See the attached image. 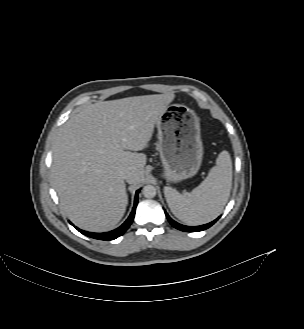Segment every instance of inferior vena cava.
I'll list each match as a JSON object with an SVG mask.
<instances>
[{"mask_svg": "<svg viewBox=\"0 0 304 329\" xmlns=\"http://www.w3.org/2000/svg\"><path fill=\"white\" fill-rule=\"evenodd\" d=\"M121 176H122V178L125 179L126 181H129V179H130V177H131V174H130V172H128V171H123V172L121 173Z\"/></svg>", "mask_w": 304, "mask_h": 329, "instance_id": "602c4592", "label": "inferior vena cava"}]
</instances>
